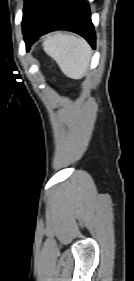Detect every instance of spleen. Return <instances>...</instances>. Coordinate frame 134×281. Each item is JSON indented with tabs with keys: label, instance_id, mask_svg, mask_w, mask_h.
Here are the masks:
<instances>
[{
	"label": "spleen",
	"instance_id": "spleen-1",
	"mask_svg": "<svg viewBox=\"0 0 134 281\" xmlns=\"http://www.w3.org/2000/svg\"><path fill=\"white\" fill-rule=\"evenodd\" d=\"M43 49L67 77L81 79L87 73L91 48L83 38L54 33L44 40Z\"/></svg>",
	"mask_w": 134,
	"mask_h": 281
}]
</instances>
